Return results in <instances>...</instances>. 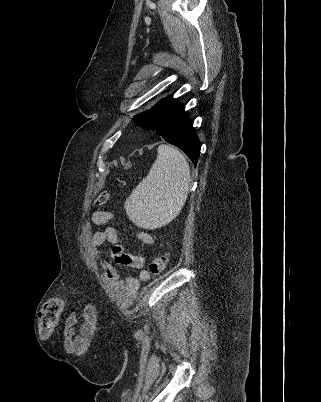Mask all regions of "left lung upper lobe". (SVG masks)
Here are the masks:
<instances>
[{
  "instance_id": "left-lung-upper-lobe-1",
  "label": "left lung upper lobe",
  "mask_w": 321,
  "mask_h": 402,
  "mask_svg": "<svg viewBox=\"0 0 321 402\" xmlns=\"http://www.w3.org/2000/svg\"><path fill=\"white\" fill-rule=\"evenodd\" d=\"M163 101H164V99L160 100L149 110L144 111V112L134 116V119L138 123H140L142 126H144L145 128L155 131V124L157 121L159 108H160L161 104L163 103Z\"/></svg>"
}]
</instances>
